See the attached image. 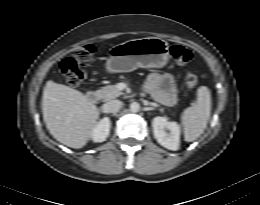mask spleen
Listing matches in <instances>:
<instances>
[{
    "label": "spleen",
    "mask_w": 260,
    "mask_h": 205,
    "mask_svg": "<svg viewBox=\"0 0 260 205\" xmlns=\"http://www.w3.org/2000/svg\"><path fill=\"white\" fill-rule=\"evenodd\" d=\"M210 112V90L206 86H200L197 90L195 104L186 108L182 114L185 141L193 142L204 132L210 118Z\"/></svg>",
    "instance_id": "3e777b00"
}]
</instances>
